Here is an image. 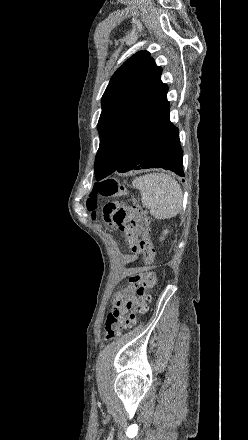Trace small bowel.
Here are the masks:
<instances>
[{
	"label": "small bowel",
	"mask_w": 248,
	"mask_h": 440,
	"mask_svg": "<svg viewBox=\"0 0 248 440\" xmlns=\"http://www.w3.org/2000/svg\"><path fill=\"white\" fill-rule=\"evenodd\" d=\"M143 227L138 223H133L129 230L125 233L129 243L130 248L133 254L131 255H122L120 256V261L122 264H128L135 260H137V255L140 252L138 249V242L139 237L142 233ZM142 268L141 267H131V268H125L123 273L127 276H136L141 274ZM132 288L129 287L126 290L120 291L114 298L113 305L116 310H124L129 309L127 305V301L130 300L132 303L135 302V299L132 295Z\"/></svg>",
	"instance_id": "1"
}]
</instances>
